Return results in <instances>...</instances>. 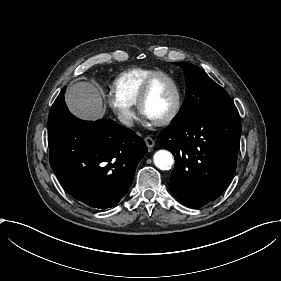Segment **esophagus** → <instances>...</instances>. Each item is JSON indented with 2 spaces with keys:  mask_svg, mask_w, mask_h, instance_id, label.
Masks as SVG:
<instances>
[{
  "mask_svg": "<svg viewBox=\"0 0 281 281\" xmlns=\"http://www.w3.org/2000/svg\"><path fill=\"white\" fill-rule=\"evenodd\" d=\"M144 141L148 148H153L155 146V141L151 137H146Z\"/></svg>",
  "mask_w": 281,
  "mask_h": 281,
  "instance_id": "obj_1",
  "label": "esophagus"
}]
</instances>
